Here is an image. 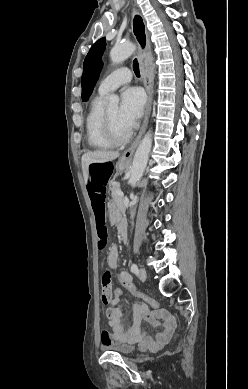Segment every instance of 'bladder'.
I'll use <instances>...</instances> for the list:
<instances>
[{"mask_svg": "<svg viewBox=\"0 0 248 389\" xmlns=\"http://www.w3.org/2000/svg\"><path fill=\"white\" fill-rule=\"evenodd\" d=\"M102 348L122 355H130L135 350L133 345L123 343L120 340H114L112 343L103 344Z\"/></svg>", "mask_w": 248, "mask_h": 389, "instance_id": "bladder-1", "label": "bladder"}]
</instances>
